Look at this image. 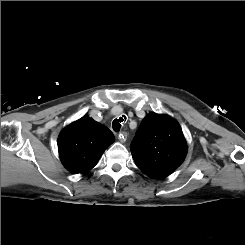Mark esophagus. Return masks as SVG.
Wrapping results in <instances>:
<instances>
[{"label": "esophagus", "mask_w": 245, "mask_h": 245, "mask_svg": "<svg viewBox=\"0 0 245 245\" xmlns=\"http://www.w3.org/2000/svg\"><path fill=\"white\" fill-rule=\"evenodd\" d=\"M127 137H128V134H127V132H125V131L119 133V135H118V139H119V141H120L121 143L126 142Z\"/></svg>", "instance_id": "obj_1"}]
</instances>
